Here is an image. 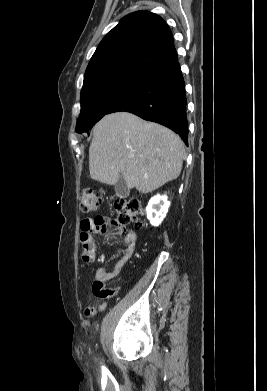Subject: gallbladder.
Segmentation results:
<instances>
[{"mask_svg":"<svg viewBox=\"0 0 267 391\" xmlns=\"http://www.w3.org/2000/svg\"><path fill=\"white\" fill-rule=\"evenodd\" d=\"M115 192L116 195L120 198H126L129 196V188L121 175L115 184Z\"/></svg>","mask_w":267,"mask_h":391,"instance_id":"bac80fb5","label":"gallbladder"}]
</instances>
